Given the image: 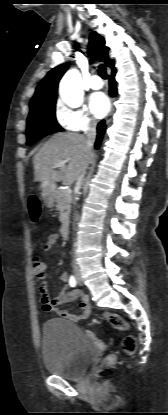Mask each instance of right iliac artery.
<instances>
[{
  "mask_svg": "<svg viewBox=\"0 0 168 415\" xmlns=\"http://www.w3.org/2000/svg\"><path fill=\"white\" fill-rule=\"evenodd\" d=\"M69 284H70L71 287H75L76 284H77V280H76V278L73 275L70 276Z\"/></svg>",
  "mask_w": 168,
  "mask_h": 415,
  "instance_id": "1",
  "label": "right iliac artery"
}]
</instances>
